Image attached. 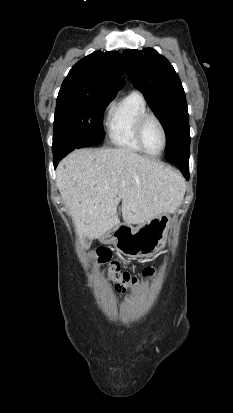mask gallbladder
I'll return each instance as SVG.
<instances>
[{
    "label": "gallbladder",
    "mask_w": 233,
    "mask_h": 413,
    "mask_svg": "<svg viewBox=\"0 0 233 413\" xmlns=\"http://www.w3.org/2000/svg\"><path fill=\"white\" fill-rule=\"evenodd\" d=\"M84 245L87 248L91 245V240L87 236H84Z\"/></svg>",
    "instance_id": "obj_1"
}]
</instances>
